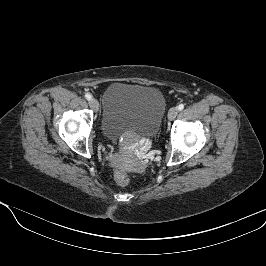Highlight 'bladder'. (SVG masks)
I'll use <instances>...</instances> for the list:
<instances>
[{
  "label": "bladder",
  "mask_w": 266,
  "mask_h": 266,
  "mask_svg": "<svg viewBox=\"0 0 266 266\" xmlns=\"http://www.w3.org/2000/svg\"><path fill=\"white\" fill-rule=\"evenodd\" d=\"M165 110L166 100L157 88L113 83L103 95L102 133L112 141L127 133L153 138L159 132Z\"/></svg>",
  "instance_id": "bladder-1"
}]
</instances>
